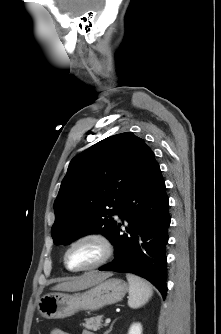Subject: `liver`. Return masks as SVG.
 I'll use <instances>...</instances> for the list:
<instances>
[{"label": "liver", "mask_w": 221, "mask_h": 334, "mask_svg": "<svg viewBox=\"0 0 221 334\" xmlns=\"http://www.w3.org/2000/svg\"><path fill=\"white\" fill-rule=\"evenodd\" d=\"M110 273L88 272L71 281L57 284L52 289L57 291H79L92 287L100 281L110 277Z\"/></svg>", "instance_id": "1"}]
</instances>
